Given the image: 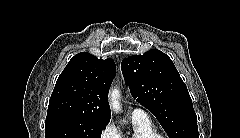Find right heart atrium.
I'll return each instance as SVG.
<instances>
[{
    "label": "right heart atrium",
    "instance_id": "right-heart-atrium-1",
    "mask_svg": "<svg viewBox=\"0 0 240 138\" xmlns=\"http://www.w3.org/2000/svg\"><path fill=\"white\" fill-rule=\"evenodd\" d=\"M119 132L113 123H107L100 132L101 138H118Z\"/></svg>",
    "mask_w": 240,
    "mask_h": 138
}]
</instances>
